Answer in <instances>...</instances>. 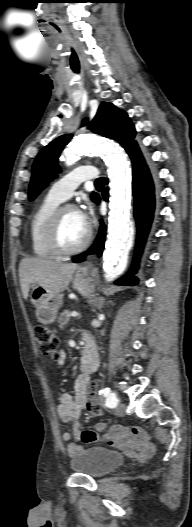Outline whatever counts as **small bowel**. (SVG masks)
Wrapping results in <instances>:
<instances>
[{"label": "small bowel", "mask_w": 192, "mask_h": 527, "mask_svg": "<svg viewBox=\"0 0 192 527\" xmlns=\"http://www.w3.org/2000/svg\"><path fill=\"white\" fill-rule=\"evenodd\" d=\"M86 341L90 343L96 353L98 362V355L96 346L93 341L87 337ZM64 354H61L59 364H62ZM93 384L90 382L89 373H82L76 379V397L73 398L68 393H62L59 398V405L57 406V415L62 423L71 424L72 432H64L62 439L68 442L67 453L70 457H74L80 451L82 446L79 441L85 443H93L100 440L98 433L106 431L104 423H98L95 426L96 431H82L80 426L81 411L88 407L87 392ZM139 426H130L128 422L123 423L117 421L115 426H110L104 437L114 446L119 447L128 457L137 461L138 464L143 465L154 453V447L148 440L147 436L142 432ZM140 434V435H139ZM84 439V440H83Z\"/></svg>", "instance_id": "c3829d8e"}]
</instances>
